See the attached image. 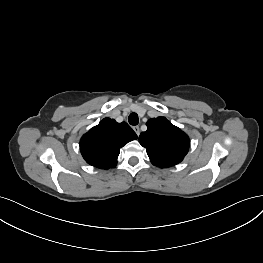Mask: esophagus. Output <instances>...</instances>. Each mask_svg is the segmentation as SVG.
I'll return each instance as SVG.
<instances>
[{
  "label": "esophagus",
  "mask_w": 263,
  "mask_h": 263,
  "mask_svg": "<svg viewBox=\"0 0 263 263\" xmlns=\"http://www.w3.org/2000/svg\"><path fill=\"white\" fill-rule=\"evenodd\" d=\"M133 130L135 131V133L137 134V136L140 135V128H139V126H134V127H133Z\"/></svg>",
  "instance_id": "34e87169"
}]
</instances>
